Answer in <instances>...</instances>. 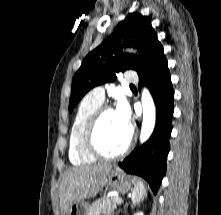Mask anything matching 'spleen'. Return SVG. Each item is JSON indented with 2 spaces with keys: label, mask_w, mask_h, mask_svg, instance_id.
Returning <instances> with one entry per match:
<instances>
[{
  "label": "spleen",
  "mask_w": 221,
  "mask_h": 215,
  "mask_svg": "<svg viewBox=\"0 0 221 215\" xmlns=\"http://www.w3.org/2000/svg\"><path fill=\"white\" fill-rule=\"evenodd\" d=\"M147 191L142 180L134 178V189L132 192V201L134 204L139 203L145 196Z\"/></svg>",
  "instance_id": "1"
}]
</instances>
